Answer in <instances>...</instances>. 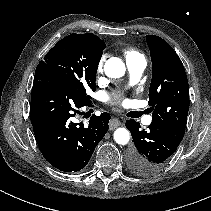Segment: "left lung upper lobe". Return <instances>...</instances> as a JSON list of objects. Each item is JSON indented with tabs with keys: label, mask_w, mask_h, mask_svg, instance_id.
I'll return each instance as SVG.
<instances>
[{
	"label": "left lung upper lobe",
	"mask_w": 211,
	"mask_h": 211,
	"mask_svg": "<svg viewBox=\"0 0 211 211\" xmlns=\"http://www.w3.org/2000/svg\"><path fill=\"white\" fill-rule=\"evenodd\" d=\"M146 40L152 60L151 125L180 144L189 110L186 72L180 58L165 40L156 35H148Z\"/></svg>",
	"instance_id": "obj_1"
}]
</instances>
